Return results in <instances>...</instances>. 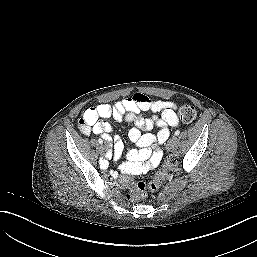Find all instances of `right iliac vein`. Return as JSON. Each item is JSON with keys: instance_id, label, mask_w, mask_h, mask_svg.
<instances>
[{"instance_id": "obj_1", "label": "right iliac vein", "mask_w": 257, "mask_h": 257, "mask_svg": "<svg viewBox=\"0 0 257 257\" xmlns=\"http://www.w3.org/2000/svg\"><path fill=\"white\" fill-rule=\"evenodd\" d=\"M100 150L105 153L106 152V146L105 145H101L100 146Z\"/></svg>"}]
</instances>
